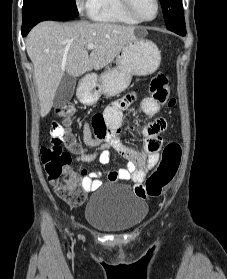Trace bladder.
<instances>
[{"instance_id":"31cf9c89","label":"bladder","mask_w":227,"mask_h":279,"mask_svg":"<svg viewBox=\"0 0 227 279\" xmlns=\"http://www.w3.org/2000/svg\"><path fill=\"white\" fill-rule=\"evenodd\" d=\"M147 205L125 186L109 184L93 195L85 210V221L104 231H125L138 226Z\"/></svg>"}]
</instances>
